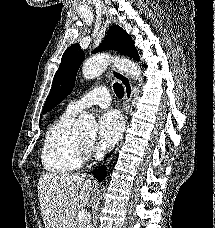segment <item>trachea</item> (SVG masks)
Here are the masks:
<instances>
[{
  "label": "trachea",
  "mask_w": 215,
  "mask_h": 228,
  "mask_svg": "<svg viewBox=\"0 0 215 228\" xmlns=\"http://www.w3.org/2000/svg\"><path fill=\"white\" fill-rule=\"evenodd\" d=\"M113 89L118 98H123L124 88L120 83H114Z\"/></svg>",
  "instance_id": "3493384b"
}]
</instances>
